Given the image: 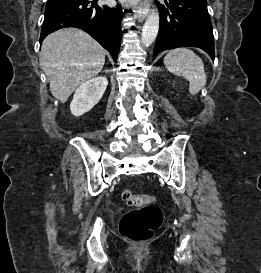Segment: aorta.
<instances>
[{
  "label": "aorta",
  "mask_w": 261,
  "mask_h": 273,
  "mask_svg": "<svg viewBox=\"0 0 261 273\" xmlns=\"http://www.w3.org/2000/svg\"><path fill=\"white\" fill-rule=\"evenodd\" d=\"M159 30V13L157 10H152L144 23L141 35L143 46L149 47L157 37Z\"/></svg>",
  "instance_id": "aorta-1"
}]
</instances>
